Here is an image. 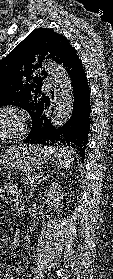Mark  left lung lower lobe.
Here are the masks:
<instances>
[{
    "label": "left lung lower lobe",
    "instance_id": "obj_1",
    "mask_svg": "<svg viewBox=\"0 0 113 279\" xmlns=\"http://www.w3.org/2000/svg\"><path fill=\"white\" fill-rule=\"evenodd\" d=\"M62 65L71 79L74 92L71 117L64 125L53 127L50 115L46 112L50 106V99L45 96L39 106L36 105L32 128L24 143L70 146L84 159L90 131V89L82 62L75 50L68 54Z\"/></svg>",
    "mask_w": 113,
    "mask_h": 279
}]
</instances>
